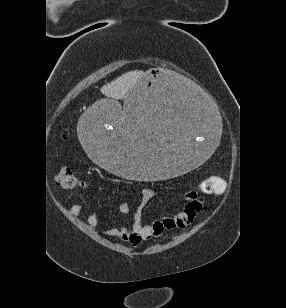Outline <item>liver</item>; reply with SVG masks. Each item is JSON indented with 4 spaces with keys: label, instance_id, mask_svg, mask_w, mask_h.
Wrapping results in <instances>:
<instances>
[{
    "label": "liver",
    "instance_id": "6515ba94",
    "mask_svg": "<svg viewBox=\"0 0 286 308\" xmlns=\"http://www.w3.org/2000/svg\"><path fill=\"white\" fill-rule=\"evenodd\" d=\"M142 71H131L127 72L110 83L104 85L101 88V92L108 98L112 99V102H116L118 99H126L127 93L132 89V87L136 84V82L142 77ZM126 104V100H125ZM120 109V108H119ZM127 112L124 110L120 113V123L126 124L127 120ZM100 114V113H99Z\"/></svg>",
    "mask_w": 286,
    "mask_h": 308
}]
</instances>
